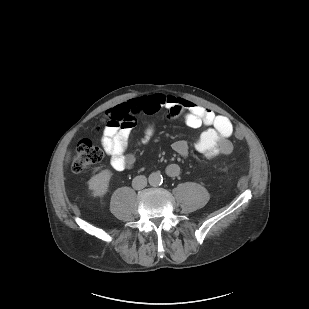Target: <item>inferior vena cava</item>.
<instances>
[{"label": "inferior vena cava", "mask_w": 309, "mask_h": 309, "mask_svg": "<svg viewBox=\"0 0 309 309\" xmlns=\"http://www.w3.org/2000/svg\"><path fill=\"white\" fill-rule=\"evenodd\" d=\"M147 185V178L144 175L136 176L132 181V187L136 190L144 188Z\"/></svg>", "instance_id": "obj_1"}]
</instances>
